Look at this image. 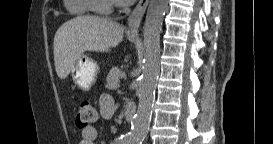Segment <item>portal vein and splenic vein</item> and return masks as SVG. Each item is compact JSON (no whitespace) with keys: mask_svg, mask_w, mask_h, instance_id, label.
Returning a JSON list of instances; mask_svg holds the SVG:
<instances>
[{"mask_svg":"<svg viewBox=\"0 0 273 144\" xmlns=\"http://www.w3.org/2000/svg\"><path fill=\"white\" fill-rule=\"evenodd\" d=\"M126 76L125 72L121 73V78H124Z\"/></svg>","mask_w":273,"mask_h":144,"instance_id":"obj_1","label":"portal vein and splenic vein"}]
</instances>
